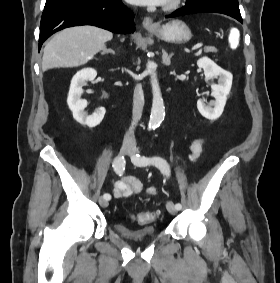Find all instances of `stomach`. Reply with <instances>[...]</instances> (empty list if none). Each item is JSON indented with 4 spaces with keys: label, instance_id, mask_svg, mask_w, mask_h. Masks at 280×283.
<instances>
[{
    "label": "stomach",
    "instance_id": "1",
    "mask_svg": "<svg viewBox=\"0 0 280 283\" xmlns=\"http://www.w3.org/2000/svg\"><path fill=\"white\" fill-rule=\"evenodd\" d=\"M150 31L156 37L166 42L186 43L192 37L191 30L181 20H172Z\"/></svg>",
    "mask_w": 280,
    "mask_h": 283
}]
</instances>
